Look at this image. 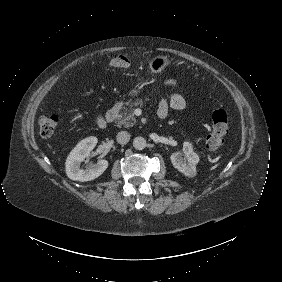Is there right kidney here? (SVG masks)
<instances>
[{"label": "right kidney", "mask_w": 282, "mask_h": 282, "mask_svg": "<svg viewBox=\"0 0 282 282\" xmlns=\"http://www.w3.org/2000/svg\"><path fill=\"white\" fill-rule=\"evenodd\" d=\"M97 145V138L90 137L80 142L70 153L66 161V174L73 181L86 182L99 177L108 167V161L98 159L96 164H91L85 170L80 164L89 156Z\"/></svg>", "instance_id": "obj_1"}]
</instances>
